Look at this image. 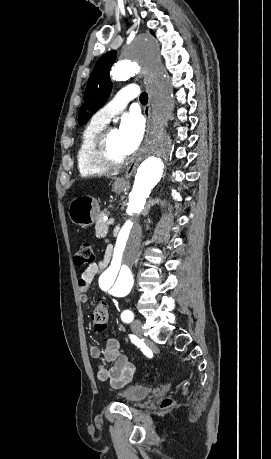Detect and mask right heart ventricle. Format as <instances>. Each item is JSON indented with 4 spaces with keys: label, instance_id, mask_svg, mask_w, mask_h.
Here are the masks:
<instances>
[{
    "label": "right heart ventricle",
    "instance_id": "1",
    "mask_svg": "<svg viewBox=\"0 0 271 459\" xmlns=\"http://www.w3.org/2000/svg\"><path fill=\"white\" fill-rule=\"evenodd\" d=\"M105 126L106 124L99 123L93 117L81 130L76 149L75 162L78 174L83 178L98 176L110 170V167L92 164L87 156L90 141L98 132L104 129Z\"/></svg>",
    "mask_w": 271,
    "mask_h": 459
}]
</instances>
